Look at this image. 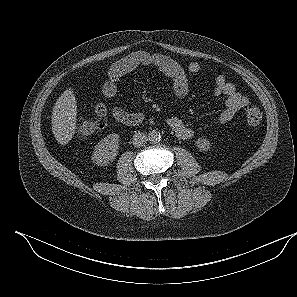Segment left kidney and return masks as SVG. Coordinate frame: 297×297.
<instances>
[{"instance_id": "obj_1", "label": "left kidney", "mask_w": 297, "mask_h": 297, "mask_svg": "<svg viewBox=\"0 0 297 297\" xmlns=\"http://www.w3.org/2000/svg\"><path fill=\"white\" fill-rule=\"evenodd\" d=\"M196 146L200 151L207 152L211 148L210 141L206 138H199L196 141Z\"/></svg>"}]
</instances>
